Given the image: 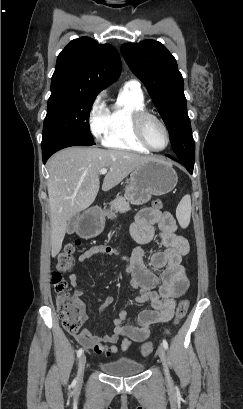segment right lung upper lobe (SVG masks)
Returning <instances> with one entry per match:
<instances>
[{
  "label": "right lung upper lobe",
  "instance_id": "right-lung-upper-lobe-1",
  "mask_svg": "<svg viewBox=\"0 0 243 409\" xmlns=\"http://www.w3.org/2000/svg\"><path fill=\"white\" fill-rule=\"evenodd\" d=\"M120 72V56L112 45L80 37L72 40L58 55L51 85L97 95L117 80Z\"/></svg>",
  "mask_w": 243,
  "mask_h": 409
}]
</instances>
